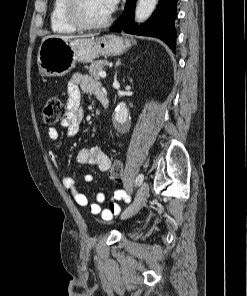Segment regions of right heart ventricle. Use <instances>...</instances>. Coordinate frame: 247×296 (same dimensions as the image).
I'll use <instances>...</instances> for the list:
<instances>
[{
	"mask_svg": "<svg viewBox=\"0 0 247 296\" xmlns=\"http://www.w3.org/2000/svg\"><path fill=\"white\" fill-rule=\"evenodd\" d=\"M67 0H54L50 14L51 29L59 34H71L76 32L65 16V7Z\"/></svg>",
	"mask_w": 247,
	"mask_h": 296,
	"instance_id": "1",
	"label": "right heart ventricle"
}]
</instances>
